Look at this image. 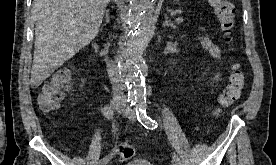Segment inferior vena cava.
Wrapping results in <instances>:
<instances>
[{"mask_svg":"<svg viewBox=\"0 0 276 165\" xmlns=\"http://www.w3.org/2000/svg\"><path fill=\"white\" fill-rule=\"evenodd\" d=\"M107 72L110 78V81L113 86V100L116 102H125V87L120 79L118 74V68L116 63L108 62L107 63Z\"/></svg>","mask_w":276,"mask_h":165,"instance_id":"obj_1","label":"inferior vena cava"}]
</instances>
